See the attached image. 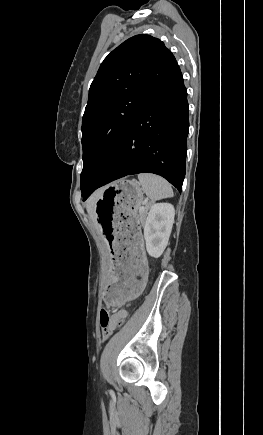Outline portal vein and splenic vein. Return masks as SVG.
<instances>
[{"label": "portal vein and splenic vein", "mask_w": 263, "mask_h": 435, "mask_svg": "<svg viewBox=\"0 0 263 435\" xmlns=\"http://www.w3.org/2000/svg\"><path fill=\"white\" fill-rule=\"evenodd\" d=\"M144 209H145V207H144V206H141L139 210H140V211H143Z\"/></svg>", "instance_id": "obj_1"}]
</instances>
